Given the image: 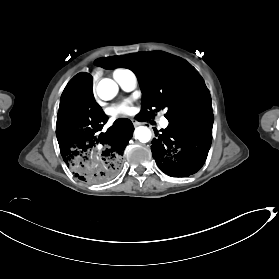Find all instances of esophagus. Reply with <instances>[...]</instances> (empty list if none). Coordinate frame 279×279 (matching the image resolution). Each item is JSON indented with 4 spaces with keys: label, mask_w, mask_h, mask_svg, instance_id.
I'll return each mask as SVG.
<instances>
[{
    "label": "esophagus",
    "mask_w": 279,
    "mask_h": 279,
    "mask_svg": "<svg viewBox=\"0 0 279 279\" xmlns=\"http://www.w3.org/2000/svg\"><path fill=\"white\" fill-rule=\"evenodd\" d=\"M132 123L134 124V126H138V125H140V123H139V122H137L136 120H132Z\"/></svg>",
    "instance_id": "esophagus-1"
}]
</instances>
